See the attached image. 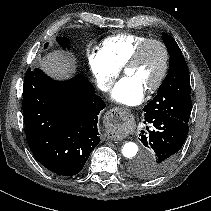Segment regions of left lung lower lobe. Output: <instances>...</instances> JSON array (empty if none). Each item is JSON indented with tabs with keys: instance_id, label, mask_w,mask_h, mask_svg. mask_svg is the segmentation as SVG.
<instances>
[{
	"instance_id": "left-lung-lower-lobe-1",
	"label": "left lung lower lobe",
	"mask_w": 211,
	"mask_h": 211,
	"mask_svg": "<svg viewBox=\"0 0 211 211\" xmlns=\"http://www.w3.org/2000/svg\"><path fill=\"white\" fill-rule=\"evenodd\" d=\"M152 127H146L148 133L140 141L152 152V159L134 162V168L142 178L153 179L166 172L175 162L187 137L189 126L177 118L160 115L145 118Z\"/></svg>"
}]
</instances>
